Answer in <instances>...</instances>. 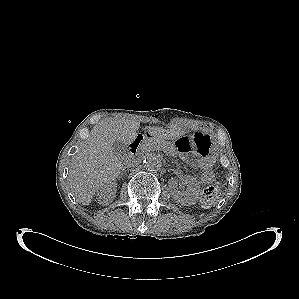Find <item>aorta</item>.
Masks as SVG:
<instances>
[{"label": "aorta", "instance_id": "762f6f07", "mask_svg": "<svg viewBox=\"0 0 299 299\" xmlns=\"http://www.w3.org/2000/svg\"><path fill=\"white\" fill-rule=\"evenodd\" d=\"M143 164L147 170L154 171L161 168L162 160L160 157L150 154L145 157Z\"/></svg>", "mask_w": 299, "mask_h": 299}]
</instances>
